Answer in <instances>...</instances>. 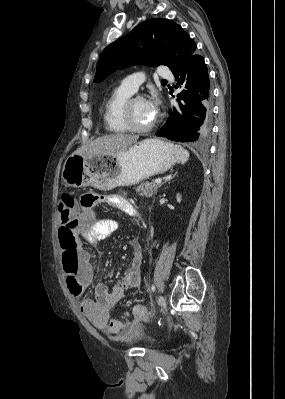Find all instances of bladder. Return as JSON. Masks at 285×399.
<instances>
[{
  "instance_id": "bladder-1",
  "label": "bladder",
  "mask_w": 285,
  "mask_h": 399,
  "mask_svg": "<svg viewBox=\"0 0 285 399\" xmlns=\"http://www.w3.org/2000/svg\"><path fill=\"white\" fill-rule=\"evenodd\" d=\"M129 341H137V342H144L146 345H150L153 341L149 338L145 332L141 331L138 328H134L128 334Z\"/></svg>"
}]
</instances>
